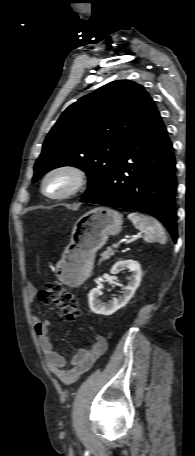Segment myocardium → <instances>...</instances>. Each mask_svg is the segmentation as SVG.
<instances>
[{
	"mask_svg": "<svg viewBox=\"0 0 195 456\" xmlns=\"http://www.w3.org/2000/svg\"><path fill=\"white\" fill-rule=\"evenodd\" d=\"M59 173H66V174L71 175L73 178V184L67 191H65L63 193L51 194V193L47 192V190H46V182L51 176H53L55 174H59ZM86 184H87V174L82 168L75 166V165H60V166H56V167L50 169L44 175L42 182H41V190H42V193L50 199L65 200V199L71 198V197L75 196L76 194H78L79 192H81L82 189L86 186Z\"/></svg>",
	"mask_w": 195,
	"mask_h": 456,
	"instance_id": "obj_1",
	"label": "myocardium"
}]
</instances>
